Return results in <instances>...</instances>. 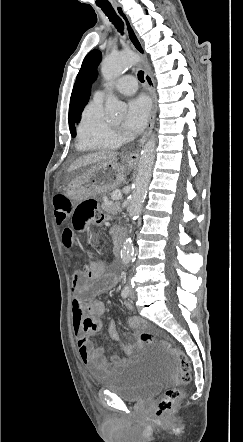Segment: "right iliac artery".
<instances>
[{"instance_id":"1","label":"right iliac artery","mask_w":243,"mask_h":442,"mask_svg":"<svg viewBox=\"0 0 243 442\" xmlns=\"http://www.w3.org/2000/svg\"><path fill=\"white\" fill-rule=\"evenodd\" d=\"M129 295V286H125L121 292V296L123 298H127Z\"/></svg>"}]
</instances>
